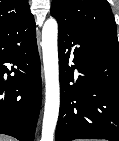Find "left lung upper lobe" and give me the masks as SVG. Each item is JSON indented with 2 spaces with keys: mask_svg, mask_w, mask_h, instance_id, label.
I'll return each mask as SVG.
<instances>
[{
  "mask_svg": "<svg viewBox=\"0 0 119 141\" xmlns=\"http://www.w3.org/2000/svg\"><path fill=\"white\" fill-rule=\"evenodd\" d=\"M51 15L58 23L118 44L116 22L107 0H53Z\"/></svg>",
  "mask_w": 119,
  "mask_h": 141,
  "instance_id": "obj_1",
  "label": "left lung upper lobe"
}]
</instances>
